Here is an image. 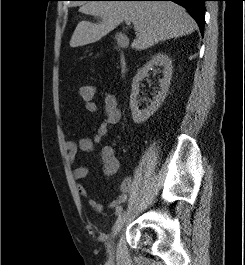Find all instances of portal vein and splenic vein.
I'll use <instances>...</instances> for the list:
<instances>
[{"label":"portal vein and splenic vein","instance_id":"obj_1","mask_svg":"<svg viewBox=\"0 0 245 265\" xmlns=\"http://www.w3.org/2000/svg\"><path fill=\"white\" fill-rule=\"evenodd\" d=\"M126 24H127V25H130V24H131V21L126 20Z\"/></svg>","mask_w":245,"mask_h":265}]
</instances>
